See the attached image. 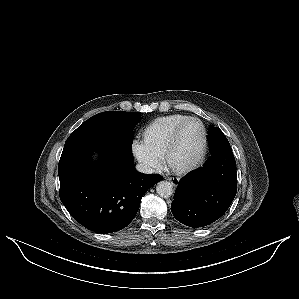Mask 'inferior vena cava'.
<instances>
[{
	"instance_id": "602c4592",
	"label": "inferior vena cava",
	"mask_w": 299,
	"mask_h": 299,
	"mask_svg": "<svg viewBox=\"0 0 299 299\" xmlns=\"http://www.w3.org/2000/svg\"><path fill=\"white\" fill-rule=\"evenodd\" d=\"M136 170L145 174L153 173V169L149 165L144 163L137 164Z\"/></svg>"
}]
</instances>
